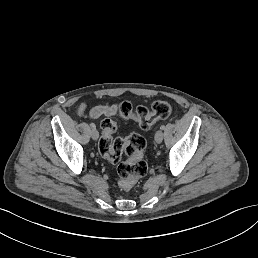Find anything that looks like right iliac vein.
I'll return each instance as SVG.
<instances>
[{
  "instance_id": "1",
  "label": "right iliac vein",
  "mask_w": 258,
  "mask_h": 258,
  "mask_svg": "<svg viewBox=\"0 0 258 258\" xmlns=\"http://www.w3.org/2000/svg\"><path fill=\"white\" fill-rule=\"evenodd\" d=\"M91 137L94 140H97L100 137L99 132L96 130V128H91V132H90Z\"/></svg>"
}]
</instances>
